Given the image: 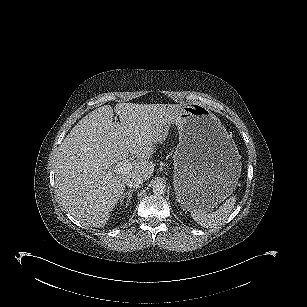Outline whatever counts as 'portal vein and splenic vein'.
Masks as SVG:
<instances>
[{
  "label": "portal vein and splenic vein",
  "mask_w": 307,
  "mask_h": 307,
  "mask_svg": "<svg viewBox=\"0 0 307 307\" xmlns=\"http://www.w3.org/2000/svg\"><path fill=\"white\" fill-rule=\"evenodd\" d=\"M132 168L131 164L128 161L122 162L116 166V168L112 171L107 172V177L113 175V174H120V173H125L129 171Z\"/></svg>",
  "instance_id": "portal-vein-and-splenic-vein-1"
}]
</instances>
